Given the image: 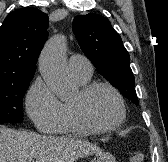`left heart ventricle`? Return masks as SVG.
Listing matches in <instances>:
<instances>
[{
	"label": "left heart ventricle",
	"instance_id": "1",
	"mask_svg": "<svg viewBox=\"0 0 168 162\" xmlns=\"http://www.w3.org/2000/svg\"><path fill=\"white\" fill-rule=\"evenodd\" d=\"M79 93L73 99L77 101ZM87 116L98 125H110L119 117V106L111 92L106 89H97L84 101Z\"/></svg>",
	"mask_w": 168,
	"mask_h": 162
}]
</instances>
